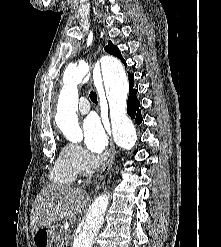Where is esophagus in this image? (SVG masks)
Here are the masks:
<instances>
[{"label":"esophagus","mask_w":221,"mask_h":247,"mask_svg":"<svg viewBox=\"0 0 221 247\" xmlns=\"http://www.w3.org/2000/svg\"><path fill=\"white\" fill-rule=\"evenodd\" d=\"M100 101H101V107H102V112L104 114H106V112L104 111L105 108V101L100 98ZM104 159L107 158L106 160V163L103 165L102 169H101V172H100V179L105 175L107 174V172L111 169L113 163H114V160H115V146H114V143H113V140L111 138L110 140V148H109V151L107 154L104 155L103 157Z\"/></svg>","instance_id":"1"}]
</instances>
